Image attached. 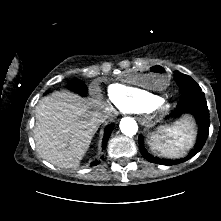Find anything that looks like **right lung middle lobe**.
<instances>
[{
  "mask_svg": "<svg viewBox=\"0 0 221 221\" xmlns=\"http://www.w3.org/2000/svg\"><path fill=\"white\" fill-rule=\"evenodd\" d=\"M70 88L73 91H75V92H77V93H79L81 95H85L86 92H87V89H86L85 85L83 84L82 81H79V80H73L70 83Z\"/></svg>",
  "mask_w": 221,
  "mask_h": 221,
  "instance_id": "1",
  "label": "right lung middle lobe"
}]
</instances>
